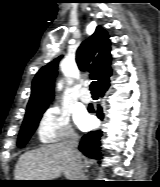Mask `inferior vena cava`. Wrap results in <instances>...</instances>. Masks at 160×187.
<instances>
[{
    "label": "inferior vena cava",
    "instance_id": "obj_1",
    "mask_svg": "<svg viewBox=\"0 0 160 187\" xmlns=\"http://www.w3.org/2000/svg\"><path fill=\"white\" fill-rule=\"evenodd\" d=\"M65 146L67 151L74 157L77 166H78V179L77 180H84V171H83V166L81 163V157L80 154L77 150L78 147V136L74 133H71L65 142Z\"/></svg>",
    "mask_w": 160,
    "mask_h": 187
}]
</instances>
